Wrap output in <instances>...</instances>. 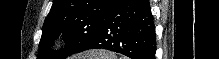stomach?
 <instances>
[{"label":"stomach","mask_w":219,"mask_h":59,"mask_svg":"<svg viewBox=\"0 0 219 59\" xmlns=\"http://www.w3.org/2000/svg\"><path fill=\"white\" fill-rule=\"evenodd\" d=\"M93 53V55H96L97 54V52H92Z\"/></svg>","instance_id":"stomach-1"}]
</instances>
